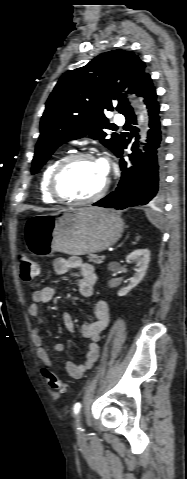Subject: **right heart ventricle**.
I'll return each mask as SVG.
<instances>
[{
    "label": "right heart ventricle",
    "mask_w": 187,
    "mask_h": 479,
    "mask_svg": "<svg viewBox=\"0 0 187 479\" xmlns=\"http://www.w3.org/2000/svg\"><path fill=\"white\" fill-rule=\"evenodd\" d=\"M61 159H62L61 157H57L51 160L47 164V166L44 168L41 174L40 181H39V191H40L41 198L45 203L56 202V200L51 196L49 192V179L54 168L56 167V165Z\"/></svg>",
    "instance_id": "1"
}]
</instances>
